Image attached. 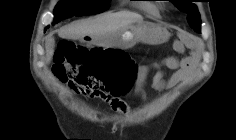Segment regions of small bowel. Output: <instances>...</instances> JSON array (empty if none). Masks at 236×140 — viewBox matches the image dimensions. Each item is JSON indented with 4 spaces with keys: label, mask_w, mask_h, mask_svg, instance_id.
Masks as SVG:
<instances>
[{
    "label": "small bowel",
    "mask_w": 236,
    "mask_h": 140,
    "mask_svg": "<svg viewBox=\"0 0 236 140\" xmlns=\"http://www.w3.org/2000/svg\"><path fill=\"white\" fill-rule=\"evenodd\" d=\"M175 50L179 54H184L185 48L182 42H176L174 45ZM173 70L170 76L165 75V70ZM196 63L195 60L188 56H170L160 61L154 62L149 66H144L141 69L143 75L148 72H153L152 86L155 89L164 90L173 88L185 80L189 79L195 72ZM142 99H145L144 94L141 95ZM112 109L120 113H128L130 108L128 104L122 99L116 100L110 103Z\"/></svg>",
    "instance_id": "obj_1"
}]
</instances>
